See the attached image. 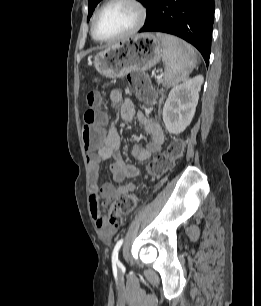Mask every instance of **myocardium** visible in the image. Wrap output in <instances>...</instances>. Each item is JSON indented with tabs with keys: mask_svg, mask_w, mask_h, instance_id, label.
<instances>
[{
	"mask_svg": "<svg viewBox=\"0 0 261 306\" xmlns=\"http://www.w3.org/2000/svg\"><path fill=\"white\" fill-rule=\"evenodd\" d=\"M128 3L132 5L133 7L136 8L137 13H138V19L135 25L126 33L115 36V37H110V38H102L97 34V21L102 13V11L107 8L109 5L114 4V3ZM147 17V10L144 4L140 0H106L95 12L93 19H92V25H91V34L93 38L99 42H104V43H112L116 42L125 38H128L135 33H137L144 25Z\"/></svg>",
	"mask_w": 261,
	"mask_h": 306,
	"instance_id": "obj_1",
	"label": "myocardium"
}]
</instances>
